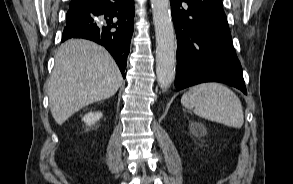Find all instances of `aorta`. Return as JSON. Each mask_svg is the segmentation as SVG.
Returning <instances> with one entry per match:
<instances>
[{"label": "aorta", "mask_w": 293, "mask_h": 184, "mask_svg": "<svg viewBox=\"0 0 293 184\" xmlns=\"http://www.w3.org/2000/svg\"><path fill=\"white\" fill-rule=\"evenodd\" d=\"M156 35V75L162 90L168 89L175 77V34L170 13V0H151Z\"/></svg>", "instance_id": "obj_1"}]
</instances>
